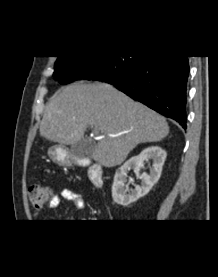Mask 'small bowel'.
Returning <instances> with one entry per match:
<instances>
[{"mask_svg": "<svg viewBox=\"0 0 218 277\" xmlns=\"http://www.w3.org/2000/svg\"><path fill=\"white\" fill-rule=\"evenodd\" d=\"M62 200L72 202L77 209H84L86 206V202L82 194L74 190L65 188L61 190L59 194L53 195L52 199L48 204L49 208H57Z\"/></svg>", "mask_w": 218, "mask_h": 277, "instance_id": "obj_1", "label": "small bowel"}]
</instances>
